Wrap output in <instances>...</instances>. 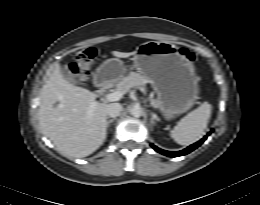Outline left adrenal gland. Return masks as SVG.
Segmentation results:
<instances>
[{"mask_svg":"<svg viewBox=\"0 0 260 205\" xmlns=\"http://www.w3.org/2000/svg\"><path fill=\"white\" fill-rule=\"evenodd\" d=\"M150 123H151V125H156V123L154 121V117L152 115H151Z\"/></svg>","mask_w":260,"mask_h":205,"instance_id":"obj_1","label":"left adrenal gland"}]
</instances>
